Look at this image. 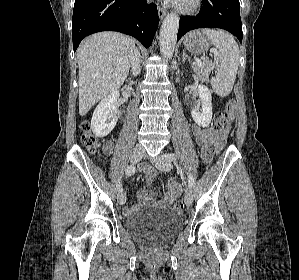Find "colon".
I'll return each mask as SVG.
<instances>
[{"mask_svg": "<svg viewBox=\"0 0 299 280\" xmlns=\"http://www.w3.org/2000/svg\"><path fill=\"white\" fill-rule=\"evenodd\" d=\"M235 108L234 101H229L226 105V111H217L214 117L213 131L215 134L220 133L224 128L229 119V113ZM82 144L92 153H96L99 150V142L97 137L93 134L91 130L90 123L85 122L82 125ZM215 151L213 143H208L201 148V156L204 162H209ZM174 209L176 212L181 213L183 211L182 202L178 201L174 204Z\"/></svg>", "mask_w": 299, "mask_h": 280, "instance_id": "colon-1", "label": "colon"}]
</instances>
